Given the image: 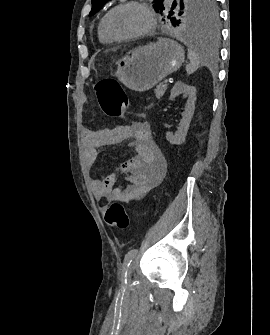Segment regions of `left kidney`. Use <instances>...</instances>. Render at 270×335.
Here are the masks:
<instances>
[{
  "mask_svg": "<svg viewBox=\"0 0 270 335\" xmlns=\"http://www.w3.org/2000/svg\"><path fill=\"white\" fill-rule=\"evenodd\" d=\"M179 94H184L185 98H188L187 104L185 106V112L182 114L183 118L175 134L166 132V140H168L170 144H177V146H180V144L185 142V138L187 136L190 122L195 110L196 90L194 86H187V84H183V82H176L175 86H173L171 90L170 100H173V98H176V96H179Z\"/></svg>",
  "mask_w": 270,
  "mask_h": 335,
  "instance_id": "5707ae66",
  "label": "left kidney"
}]
</instances>
